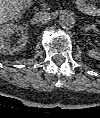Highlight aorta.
<instances>
[{"label": "aorta", "mask_w": 100, "mask_h": 118, "mask_svg": "<svg viewBox=\"0 0 100 118\" xmlns=\"http://www.w3.org/2000/svg\"><path fill=\"white\" fill-rule=\"evenodd\" d=\"M59 24L64 29H71L75 25V18L69 13L62 14L59 18Z\"/></svg>", "instance_id": "762f6f07"}]
</instances>
